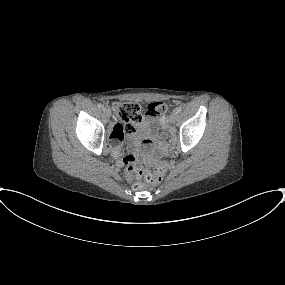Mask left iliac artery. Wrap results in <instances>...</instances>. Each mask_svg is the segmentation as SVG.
I'll return each instance as SVG.
<instances>
[{"instance_id": "1", "label": "left iliac artery", "mask_w": 285, "mask_h": 285, "mask_svg": "<svg viewBox=\"0 0 285 285\" xmlns=\"http://www.w3.org/2000/svg\"><path fill=\"white\" fill-rule=\"evenodd\" d=\"M182 106H179V107H177L176 109H175V111L177 112V113H180L181 111H182Z\"/></svg>"}]
</instances>
